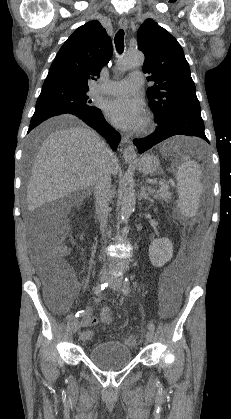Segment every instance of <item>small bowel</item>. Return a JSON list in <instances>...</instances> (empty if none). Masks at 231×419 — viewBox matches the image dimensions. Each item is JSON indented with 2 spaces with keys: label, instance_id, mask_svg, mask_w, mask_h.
<instances>
[{
  "label": "small bowel",
  "instance_id": "small-bowel-1",
  "mask_svg": "<svg viewBox=\"0 0 231 419\" xmlns=\"http://www.w3.org/2000/svg\"><path fill=\"white\" fill-rule=\"evenodd\" d=\"M159 297L162 312L165 315H171L178 307L180 296L175 280L169 278L167 273L162 276L159 286ZM97 322V318L92 316L90 309H87L81 325L84 328L81 332V337L84 341L91 340L93 332L89 328L96 325Z\"/></svg>",
  "mask_w": 231,
  "mask_h": 419
}]
</instances>
